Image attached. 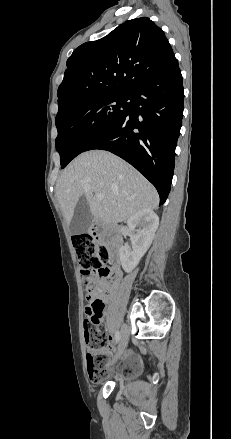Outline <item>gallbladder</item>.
Instances as JSON below:
<instances>
[{
	"mask_svg": "<svg viewBox=\"0 0 231 439\" xmlns=\"http://www.w3.org/2000/svg\"><path fill=\"white\" fill-rule=\"evenodd\" d=\"M92 220L89 203L85 196H82L75 208L73 218L70 223V232L80 234L88 230Z\"/></svg>",
	"mask_w": 231,
	"mask_h": 439,
	"instance_id": "1",
	"label": "gallbladder"
}]
</instances>
